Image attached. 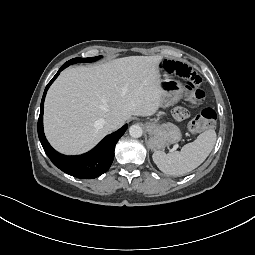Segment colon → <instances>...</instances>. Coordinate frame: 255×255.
<instances>
[{
	"instance_id": "obj_1",
	"label": "colon",
	"mask_w": 255,
	"mask_h": 255,
	"mask_svg": "<svg viewBox=\"0 0 255 255\" xmlns=\"http://www.w3.org/2000/svg\"><path fill=\"white\" fill-rule=\"evenodd\" d=\"M162 67L165 72L174 74L187 82L190 88L189 97L191 101L200 103L204 100L205 92L200 88L202 79L191 67L183 62L174 60L163 61ZM216 119L217 114L215 110L212 108H205L192 119L189 124V129L193 133H198L212 128L216 123Z\"/></svg>"
}]
</instances>
